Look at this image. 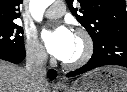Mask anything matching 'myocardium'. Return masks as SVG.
Segmentation results:
<instances>
[{"label": "myocardium", "mask_w": 127, "mask_h": 92, "mask_svg": "<svg viewBox=\"0 0 127 92\" xmlns=\"http://www.w3.org/2000/svg\"><path fill=\"white\" fill-rule=\"evenodd\" d=\"M75 36L80 38L83 42L84 48L81 55L73 61H63V67L67 69H77L85 65L92 57L94 52V42L91 35L82 28H79L75 31Z\"/></svg>", "instance_id": "myocardium-1"}]
</instances>
